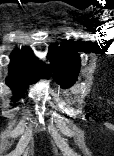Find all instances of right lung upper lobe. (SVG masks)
Wrapping results in <instances>:
<instances>
[{
  "mask_svg": "<svg viewBox=\"0 0 114 156\" xmlns=\"http://www.w3.org/2000/svg\"><path fill=\"white\" fill-rule=\"evenodd\" d=\"M10 59L9 76L6 80L9 86L20 87L40 76L46 77L51 74L50 68L34 57L27 48L13 51Z\"/></svg>",
  "mask_w": 114,
  "mask_h": 156,
  "instance_id": "1",
  "label": "right lung upper lobe"
}]
</instances>
